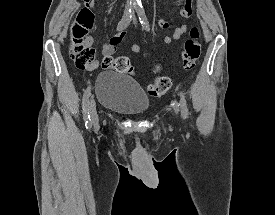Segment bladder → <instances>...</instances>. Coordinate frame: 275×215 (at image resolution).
Instances as JSON below:
<instances>
[{
    "instance_id": "31cf9c89",
    "label": "bladder",
    "mask_w": 275,
    "mask_h": 215,
    "mask_svg": "<svg viewBox=\"0 0 275 215\" xmlns=\"http://www.w3.org/2000/svg\"><path fill=\"white\" fill-rule=\"evenodd\" d=\"M95 92L103 108L125 115L139 116L149 107V100L138 83L123 73L101 72L95 83Z\"/></svg>"
}]
</instances>
